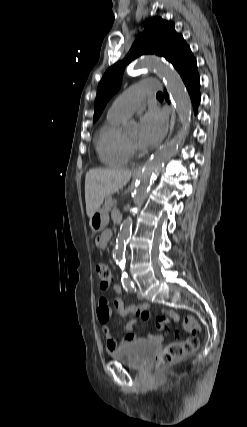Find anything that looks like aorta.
Here are the masks:
<instances>
[{
  "mask_svg": "<svg viewBox=\"0 0 247 427\" xmlns=\"http://www.w3.org/2000/svg\"><path fill=\"white\" fill-rule=\"evenodd\" d=\"M143 69H153L157 76L162 78L165 82L166 88L178 113L182 128L167 145L160 148L154 154L153 158L145 163L137 186L132 194L134 205L129 211L131 215L141 206L147 196L154 176H156L163 165L177 153L178 148L183 142L186 128L189 126L192 111L189 94L180 75L175 69L152 56L142 57L135 63V71H141ZM127 129H129V127H127ZM132 225L133 221L131 216L123 221L116 240V247L112 253L113 258L121 267L124 266L126 243L131 236Z\"/></svg>",
  "mask_w": 247,
  "mask_h": 427,
  "instance_id": "762f6f07",
  "label": "aorta"
}]
</instances>
